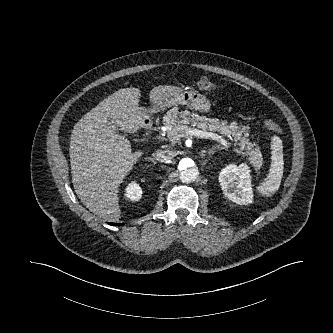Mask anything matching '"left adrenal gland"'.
<instances>
[{"label": "left adrenal gland", "instance_id": "a2214340", "mask_svg": "<svg viewBox=\"0 0 333 333\" xmlns=\"http://www.w3.org/2000/svg\"><path fill=\"white\" fill-rule=\"evenodd\" d=\"M216 149H225V147H220L219 145H217V146H213V147L209 150L208 154H209V155H213Z\"/></svg>", "mask_w": 333, "mask_h": 333}]
</instances>
